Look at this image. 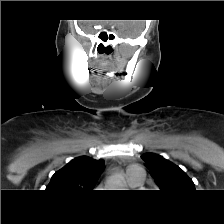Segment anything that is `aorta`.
I'll use <instances>...</instances> for the list:
<instances>
[{
  "instance_id": "762f6f07",
  "label": "aorta",
  "mask_w": 224,
  "mask_h": 224,
  "mask_svg": "<svg viewBox=\"0 0 224 224\" xmlns=\"http://www.w3.org/2000/svg\"><path fill=\"white\" fill-rule=\"evenodd\" d=\"M108 187L113 188L112 190H120L121 188H123V181L121 175L119 174L113 175L110 178Z\"/></svg>"
}]
</instances>
